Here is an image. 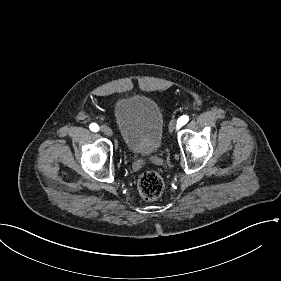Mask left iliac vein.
<instances>
[{"label":"left iliac vein","instance_id":"4c4485c4","mask_svg":"<svg viewBox=\"0 0 281 281\" xmlns=\"http://www.w3.org/2000/svg\"><path fill=\"white\" fill-rule=\"evenodd\" d=\"M177 127V121L176 120H172L169 124V131L173 132L175 130V128Z\"/></svg>","mask_w":281,"mask_h":281}]
</instances>
